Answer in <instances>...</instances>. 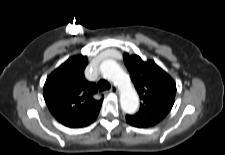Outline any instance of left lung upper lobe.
I'll list each match as a JSON object with an SVG mask.
<instances>
[{"instance_id":"left-lung-upper-lobe-1","label":"left lung upper lobe","mask_w":225,"mask_h":155,"mask_svg":"<svg viewBox=\"0 0 225 155\" xmlns=\"http://www.w3.org/2000/svg\"><path fill=\"white\" fill-rule=\"evenodd\" d=\"M124 62L142 100L139 112L127 117L134 127H152L170 112L174 104L176 84L153 61H143L138 55L125 53Z\"/></svg>"}]
</instances>
